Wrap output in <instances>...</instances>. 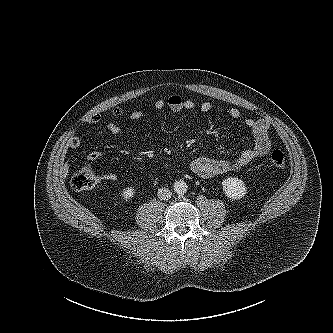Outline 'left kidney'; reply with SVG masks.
<instances>
[{
    "label": "left kidney",
    "instance_id": "obj_1",
    "mask_svg": "<svg viewBox=\"0 0 333 333\" xmlns=\"http://www.w3.org/2000/svg\"><path fill=\"white\" fill-rule=\"evenodd\" d=\"M222 186L225 195L232 200L241 199L247 193L244 182L236 177H229L223 180Z\"/></svg>",
    "mask_w": 333,
    "mask_h": 333
}]
</instances>
